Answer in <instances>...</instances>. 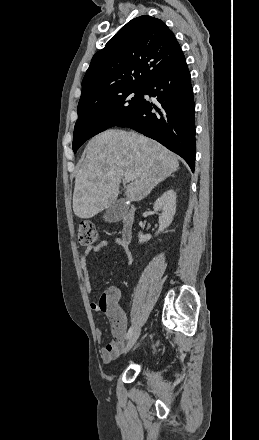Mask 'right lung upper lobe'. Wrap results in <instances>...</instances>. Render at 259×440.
<instances>
[{
	"instance_id": "cb5924a9",
	"label": "right lung upper lobe",
	"mask_w": 259,
	"mask_h": 440,
	"mask_svg": "<svg viewBox=\"0 0 259 440\" xmlns=\"http://www.w3.org/2000/svg\"><path fill=\"white\" fill-rule=\"evenodd\" d=\"M182 54L162 20L146 15L134 18L93 56L82 81L78 109L121 90L147 88Z\"/></svg>"
}]
</instances>
